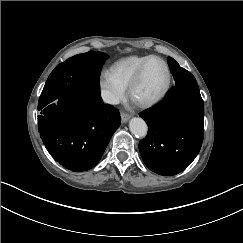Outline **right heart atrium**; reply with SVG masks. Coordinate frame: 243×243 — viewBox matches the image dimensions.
<instances>
[{
  "label": "right heart atrium",
  "instance_id": "d8ad5b80",
  "mask_svg": "<svg viewBox=\"0 0 243 243\" xmlns=\"http://www.w3.org/2000/svg\"><path fill=\"white\" fill-rule=\"evenodd\" d=\"M100 98L109 105H116L128 95L127 88L119 81L112 66H103L97 75Z\"/></svg>",
  "mask_w": 243,
  "mask_h": 243
}]
</instances>
